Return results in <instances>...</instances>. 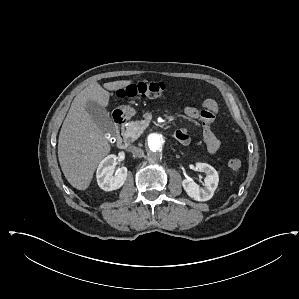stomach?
<instances>
[{
	"label": "stomach",
	"instance_id": "stomach-1",
	"mask_svg": "<svg viewBox=\"0 0 299 299\" xmlns=\"http://www.w3.org/2000/svg\"><path fill=\"white\" fill-rule=\"evenodd\" d=\"M118 109L122 112L126 119H129L136 114V110L130 105H122L119 106Z\"/></svg>",
	"mask_w": 299,
	"mask_h": 299
}]
</instances>
